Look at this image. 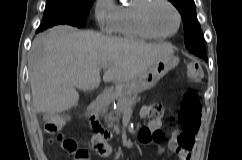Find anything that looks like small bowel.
<instances>
[{"label":"small bowel","instance_id":"c3829d8e","mask_svg":"<svg viewBox=\"0 0 242 160\" xmlns=\"http://www.w3.org/2000/svg\"><path fill=\"white\" fill-rule=\"evenodd\" d=\"M143 115H147V112L146 111H143ZM159 126H160V121L159 119H154L151 124H150V127L149 128H143L140 132H139V141L141 143H144V144H149V143H152L153 141H150V142H146L144 141V139L140 136V133L146 129L152 131V130H155V129H159ZM180 134L177 133L176 135H174L168 142V147L169 149L176 154L177 156V160H191V152L194 148V144H195V137L194 135L195 134H191V135H186L184 134L183 137L187 140L186 142H183V141H179L178 140V135ZM98 141H101V140H97V139H94L93 141V144L95 145L96 142ZM68 146L70 148L67 149V151L69 152H73L75 150V146L72 142L68 141L67 142ZM110 148V146H109Z\"/></svg>","mask_w":242,"mask_h":160}]
</instances>
